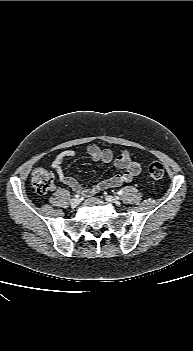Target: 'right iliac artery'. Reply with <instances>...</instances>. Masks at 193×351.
Here are the masks:
<instances>
[{"label": "right iliac artery", "mask_w": 193, "mask_h": 351, "mask_svg": "<svg viewBox=\"0 0 193 351\" xmlns=\"http://www.w3.org/2000/svg\"><path fill=\"white\" fill-rule=\"evenodd\" d=\"M74 197L78 199L80 196L78 194H76Z\"/></svg>", "instance_id": "obj_1"}]
</instances>
